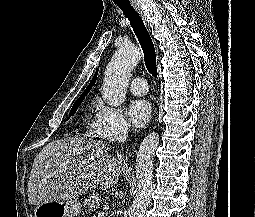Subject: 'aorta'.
I'll list each match as a JSON object with an SVG mask.
<instances>
[{"label":"aorta","instance_id":"obj_1","mask_svg":"<svg viewBox=\"0 0 255 217\" xmlns=\"http://www.w3.org/2000/svg\"><path fill=\"white\" fill-rule=\"evenodd\" d=\"M141 59L140 50L132 44L122 45L108 63L102 89L103 99L111 106H120L126 98L129 77ZM159 135L148 134L142 141L136 160L135 197L129 217H144L153 190V158L158 147Z\"/></svg>","mask_w":255,"mask_h":217}]
</instances>
